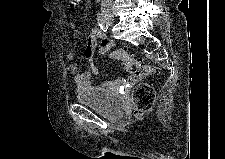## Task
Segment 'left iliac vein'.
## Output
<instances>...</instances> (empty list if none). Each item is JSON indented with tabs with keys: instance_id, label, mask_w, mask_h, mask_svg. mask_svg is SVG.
I'll return each mask as SVG.
<instances>
[{
	"instance_id": "obj_1",
	"label": "left iliac vein",
	"mask_w": 225,
	"mask_h": 159,
	"mask_svg": "<svg viewBox=\"0 0 225 159\" xmlns=\"http://www.w3.org/2000/svg\"><path fill=\"white\" fill-rule=\"evenodd\" d=\"M106 20H107V23H108L109 26L112 25L113 20H111V19H109V18H107Z\"/></svg>"
}]
</instances>
